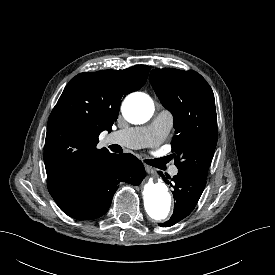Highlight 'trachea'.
Returning a JSON list of instances; mask_svg holds the SVG:
<instances>
[{
    "instance_id": "trachea-1",
    "label": "trachea",
    "mask_w": 275,
    "mask_h": 275,
    "mask_svg": "<svg viewBox=\"0 0 275 275\" xmlns=\"http://www.w3.org/2000/svg\"><path fill=\"white\" fill-rule=\"evenodd\" d=\"M110 149L113 151V152H116V153H119V146L118 145H111L110 146ZM154 160H145V163L151 165V166H154Z\"/></svg>"
}]
</instances>
